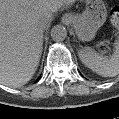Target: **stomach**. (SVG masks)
Instances as JSON below:
<instances>
[{"mask_svg": "<svg viewBox=\"0 0 119 119\" xmlns=\"http://www.w3.org/2000/svg\"><path fill=\"white\" fill-rule=\"evenodd\" d=\"M85 10L79 16H74L70 24L81 41H90L97 30L105 23L107 10L102 0H82Z\"/></svg>", "mask_w": 119, "mask_h": 119, "instance_id": "obj_1", "label": "stomach"}]
</instances>
